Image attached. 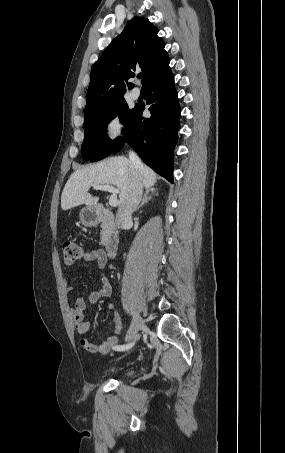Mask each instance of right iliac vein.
Here are the masks:
<instances>
[{"instance_id":"obj_1","label":"right iliac vein","mask_w":285,"mask_h":453,"mask_svg":"<svg viewBox=\"0 0 285 453\" xmlns=\"http://www.w3.org/2000/svg\"><path fill=\"white\" fill-rule=\"evenodd\" d=\"M143 326V320L138 312L133 313L132 323L125 337L126 341L132 340Z\"/></svg>"}]
</instances>
